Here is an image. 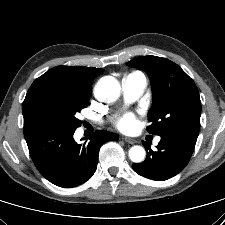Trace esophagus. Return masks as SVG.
<instances>
[{"label":"esophagus","instance_id":"esophagus-1","mask_svg":"<svg viewBox=\"0 0 225 225\" xmlns=\"http://www.w3.org/2000/svg\"><path fill=\"white\" fill-rule=\"evenodd\" d=\"M123 139L125 140V142H127L129 144H135L137 142L136 139L130 138V137H124Z\"/></svg>","mask_w":225,"mask_h":225}]
</instances>
